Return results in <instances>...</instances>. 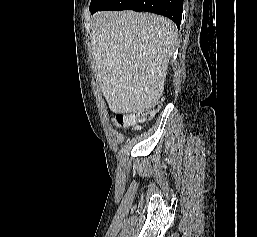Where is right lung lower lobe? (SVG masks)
Returning a JSON list of instances; mask_svg holds the SVG:
<instances>
[{
  "mask_svg": "<svg viewBox=\"0 0 257 237\" xmlns=\"http://www.w3.org/2000/svg\"><path fill=\"white\" fill-rule=\"evenodd\" d=\"M134 10L160 14L180 26L183 11V0H110L100 8H91L92 13L103 10Z\"/></svg>",
  "mask_w": 257,
  "mask_h": 237,
  "instance_id": "98d812e1",
  "label": "right lung lower lobe"
}]
</instances>
